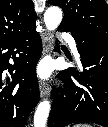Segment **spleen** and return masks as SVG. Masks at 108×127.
<instances>
[{"label":"spleen","instance_id":"obj_1","mask_svg":"<svg viewBox=\"0 0 108 127\" xmlns=\"http://www.w3.org/2000/svg\"><path fill=\"white\" fill-rule=\"evenodd\" d=\"M74 127H92L91 125H89V124H77V125H75Z\"/></svg>","mask_w":108,"mask_h":127}]
</instances>
